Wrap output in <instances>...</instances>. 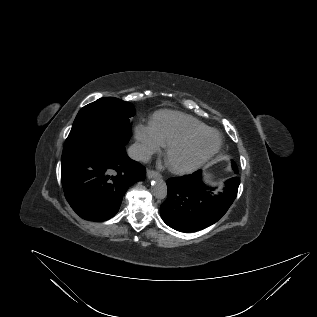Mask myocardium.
Returning <instances> with one entry per match:
<instances>
[{
	"label": "myocardium",
	"mask_w": 317,
	"mask_h": 317,
	"mask_svg": "<svg viewBox=\"0 0 317 317\" xmlns=\"http://www.w3.org/2000/svg\"><path fill=\"white\" fill-rule=\"evenodd\" d=\"M208 133H214L217 136V142L205 154L199 156L196 160H194L193 162H191L187 165H184V166L172 165L169 162V156L171 155V153L174 150L185 145L189 141L196 139L198 137H201V136L208 134ZM221 146H222V137H221L220 133L215 129L205 128L202 130L190 131V132H187V133L181 135L180 137L174 139L166 146L165 151H164V158H165V162H166L168 168L172 172H174L176 174H187V173H190V172H193V171L199 169L201 166H203L205 163H207L209 160H211L219 152Z\"/></svg>",
	"instance_id": "obj_1"
}]
</instances>
